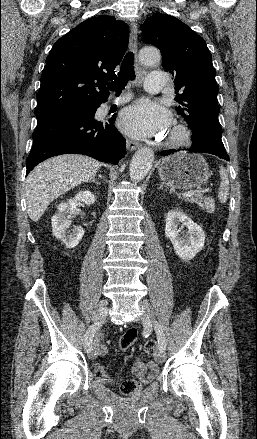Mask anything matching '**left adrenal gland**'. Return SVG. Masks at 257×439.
Returning <instances> with one entry per match:
<instances>
[{
  "mask_svg": "<svg viewBox=\"0 0 257 439\" xmlns=\"http://www.w3.org/2000/svg\"><path fill=\"white\" fill-rule=\"evenodd\" d=\"M158 189H163V185H162V184H160V186L158 187Z\"/></svg>",
  "mask_w": 257,
  "mask_h": 439,
  "instance_id": "left-adrenal-gland-1",
  "label": "left adrenal gland"
}]
</instances>
